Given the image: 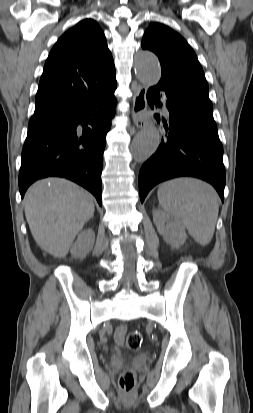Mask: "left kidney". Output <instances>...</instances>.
<instances>
[{
    "label": "left kidney",
    "instance_id": "5707ae66",
    "mask_svg": "<svg viewBox=\"0 0 253 413\" xmlns=\"http://www.w3.org/2000/svg\"><path fill=\"white\" fill-rule=\"evenodd\" d=\"M153 222L166 243L173 248H179L187 239L182 222L162 210H154Z\"/></svg>",
    "mask_w": 253,
    "mask_h": 413
}]
</instances>
